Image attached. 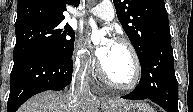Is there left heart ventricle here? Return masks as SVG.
Masks as SVG:
<instances>
[{
    "instance_id": "obj_1",
    "label": "left heart ventricle",
    "mask_w": 193,
    "mask_h": 112,
    "mask_svg": "<svg viewBox=\"0 0 193 112\" xmlns=\"http://www.w3.org/2000/svg\"><path fill=\"white\" fill-rule=\"evenodd\" d=\"M101 65L106 75L116 83L126 84L133 77V60L123 44L112 42L107 57Z\"/></svg>"
}]
</instances>
